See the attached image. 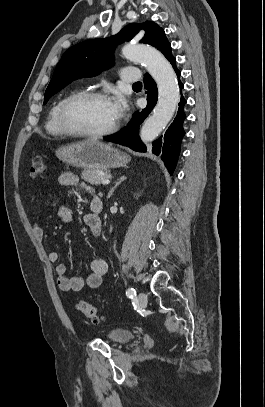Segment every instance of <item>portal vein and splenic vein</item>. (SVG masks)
I'll return each mask as SVG.
<instances>
[{
	"label": "portal vein and splenic vein",
	"instance_id": "obj_1",
	"mask_svg": "<svg viewBox=\"0 0 265 407\" xmlns=\"http://www.w3.org/2000/svg\"><path fill=\"white\" fill-rule=\"evenodd\" d=\"M101 183H102L103 185H107V184L110 183V180H109V179H103V180L101 181Z\"/></svg>",
	"mask_w": 265,
	"mask_h": 407
}]
</instances>
